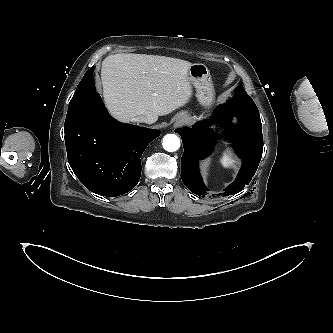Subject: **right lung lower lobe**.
<instances>
[{
	"mask_svg": "<svg viewBox=\"0 0 333 333\" xmlns=\"http://www.w3.org/2000/svg\"><path fill=\"white\" fill-rule=\"evenodd\" d=\"M68 162L90 191L115 197L129 192L141 175L140 157L159 130L123 124L107 112L92 79L64 124Z\"/></svg>",
	"mask_w": 333,
	"mask_h": 333,
	"instance_id": "right-lung-lower-lobe-1",
	"label": "right lung lower lobe"
}]
</instances>
